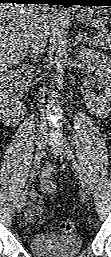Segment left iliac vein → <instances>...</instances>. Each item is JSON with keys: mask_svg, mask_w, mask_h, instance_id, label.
<instances>
[{"mask_svg": "<svg viewBox=\"0 0 111 257\" xmlns=\"http://www.w3.org/2000/svg\"><path fill=\"white\" fill-rule=\"evenodd\" d=\"M51 148L55 153L62 155V156L63 155L67 156L68 158H70L72 160L73 167L76 170V173H77L80 185H81V189L85 195H88L89 191H88L87 183L85 181L82 169L76 162L74 155H73V151H72L71 147L68 145V143L66 141H63L60 145L52 146Z\"/></svg>", "mask_w": 111, "mask_h": 257, "instance_id": "1", "label": "left iliac vein"}]
</instances>
